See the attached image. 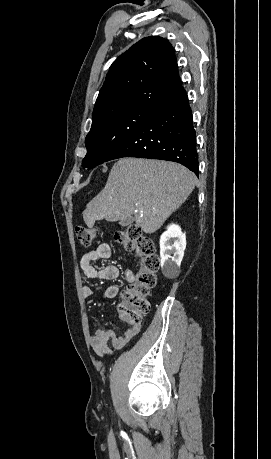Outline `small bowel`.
I'll list each match as a JSON object with an SVG mask.
<instances>
[{"instance_id":"obj_1","label":"small bowel","mask_w":271,"mask_h":459,"mask_svg":"<svg viewBox=\"0 0 271 459\" xmlns=\"http://www.w3.org/2000/svg\"><path fill=\"white\" fill-rule=\"evenodd\" d=\"M111 254V246L108 243H101L96 249L82 255L80 268L86 277L90 279L115 280L120 276V269L117 266L106 265L101 268L94 266L95 261L106 260L110 258ZM124 277L130 283L134 282L136 278L134 272L129 269L124 271ZM118 292L117 285H110L103 292V297L105 299H113ZM82 294L84 298L89 299L93 296V290L88 286H84ZM140 329V324L131 325L121 336H118L110 329H97L90 337V345L101 358H105L111 355V350L108 346L109 342L112 343L114 348L120 349L129 343L140 332Z\"/></svg>"}]
</instances>
